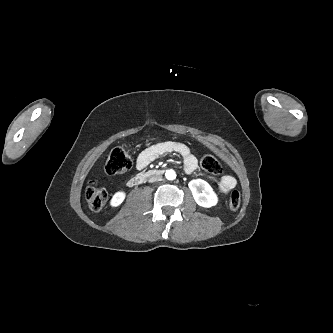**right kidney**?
<instances>
[{"mask_svg":"<svg viewBox=\"0 0 333 333\" xmlns=\"http://www.w3.org/2000/svg\"><path fill=\"white\" fill-rule=\"evenodd\" d=\"M124 199H125V193L117 192L113 195L110 204L113 207L119 206L123 202Z\"/></svg>","mask_w":333,"mask_h":333,"instance_id":"ca27d5eb","label":"right kidney"}]
</instances>
